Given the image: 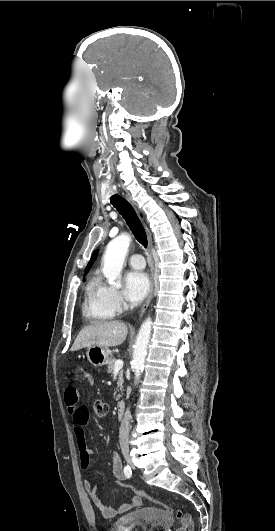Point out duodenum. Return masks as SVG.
Instances as JSON below:
<instances>
[{
	"instance_id": "duodenum-1",
	"label": "duodenum",
	"mask_w": 275,
	"mask_h": 531,
	"mask_svg": "<svg viewBox=\"0 0 275 531\" xmlns=\"http://www.w3.org/2000/svg\"><path fill=\"white\" fill-rule=\"evenodd\" d=\"M125 410H126V402L125 401H119L117 406H116V411H117V414L120 418H122L125 414Z\"/></svg>"
}]
</instances>
